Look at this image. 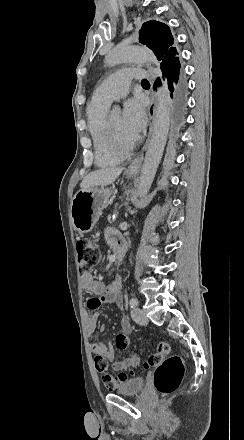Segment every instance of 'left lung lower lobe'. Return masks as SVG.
Here are the masks:
<instances>
[{"instance_id": "obj_1", "label": "left lung lower lobe", "mask_w": 244, "mask_h": 440, "mask_svg": "<svg viewBox=\"0 0 244 440\" xmlns=\"http://www.w3.org/2000/svg\"><path fill=\"white\" fill-rule=\"evenodd\" d=\"M179 58L172 63L161 67L163 74L167 79L168 88L171 96V117L169 123V145L172 147L179 141L181 131L185 121V112L187 107V84L183 70L180 69ZM160 84V80L156 85Z\"/></svg>"}]
</instances>
